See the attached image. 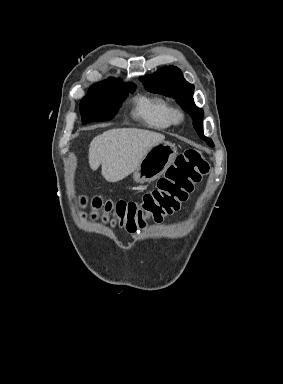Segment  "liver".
I'll list each match as a JSON object with an SVG mask.
<instances>
[{"mask_svg":"<svg viewBox=\"0 0 283 384\" xmlns=\"http://www.w3.org/2000/svg\"><path fill=\"white\" fill-rule=\"evenodd\" d=\"M165 136L149 130L118 128L93 138L89 146L91 170L102 164L101 174L107 182H120L137 170L148 150L164 142Z\"/></svg>","mask_w":283,"mask_h":384,"instance_id":"liver-1","label":"liver"}]
</instances>
